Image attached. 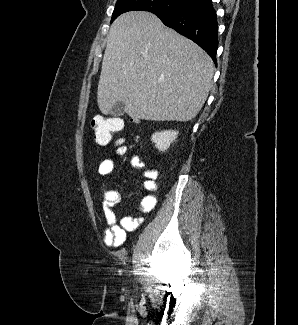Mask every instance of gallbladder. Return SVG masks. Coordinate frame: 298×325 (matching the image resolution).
Listing matches in <instances>:
<instances>
[{"mask_svg": "<svg viewBox=\"0 0 298 325\" xmlns=\"http://www.w3.org/2000/svg\"><path fill=\"white\" fill-rule=\"evenodd\" d=\"M111 116H122V114H125V104L120 100V102H116V104H113L111 110H110Z\"/></svg>", "mask_w": 298, "mask_h": 325, "instance_id": "bac80fb5", "label": "gallbladder"}]
</instances>
